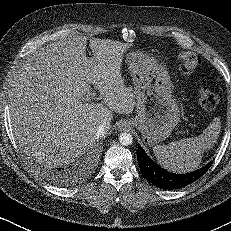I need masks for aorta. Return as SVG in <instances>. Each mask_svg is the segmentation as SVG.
Masks as SVG:
<instances>
[{"mask_svg": "<svg viewBox=\"0 0 231 231\" xmlns=\"http://www.w3.org/2000/svg\"><path fill=\"white\" fill-rule=\"evenodd\" d=\"M119 141L122 145L124 146H129L133 142V137L130 133L128 132H123L119 136Z\"/></svg>", "mask_w": 231, "mask_h": 231, "instance_id": "762f6f07", "label": "aorta"}]
</instances>
